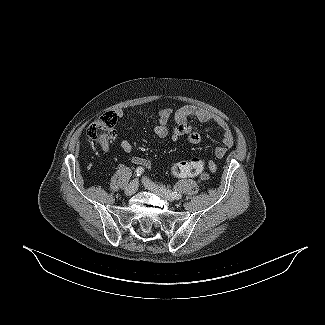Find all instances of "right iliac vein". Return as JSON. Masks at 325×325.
Here are the masks:
<instances>
[{"label": "right iliac vein", "instance_id": "right-iliac-vein-1", "mask_svg": "<svg viewBox=\"0 0 325 325\" xmlns=\"http://www.w3.org/2000/svg\"><path fill=\"white\" fill-rule=\"evenodd\" d=\"M138 189V181L137 180H133L132 182H130V184L126 187L125 189V194L127 196H131L133 194H135V192Z\"/></svg>", "mask_w": 325, "mask_h": 325}]
</instances>
